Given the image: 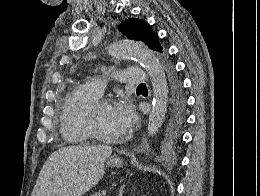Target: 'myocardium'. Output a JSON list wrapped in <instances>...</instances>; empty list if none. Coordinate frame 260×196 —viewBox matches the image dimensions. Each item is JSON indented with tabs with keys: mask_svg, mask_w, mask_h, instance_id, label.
I'll use <instances>...</instances> for the list:
<instances>
[{
	"mask_svg": "<svg viewBox=\"0 0 260 196\" xmlns=\"http://www.w3.org/2000/svg\"><path fill=\"white\" fill-rule=\"evenodd\" d=\"M109 105H112V101L110 99L101 98L95 101L89 109L84 125L92 133L93 136L100 138L106 142H114L120 140L121 138L119 136L109 134L107 132L100 130L97 127L95 122V115L98 112V110L104 106H109ZM77 191H82V190H77Z\"/></svg>",
	"mask_w": 260,
	"mask_h": 196,
	"instance_id": "1",
	"label": "myocardium"
}]
</instances>
